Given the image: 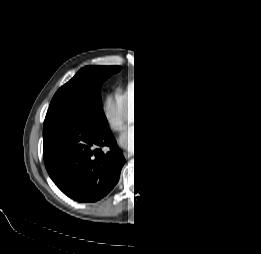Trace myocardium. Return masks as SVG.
Returning <instances> with one entry per match:
<instances>
[{"instance_id": "obj_1", "label": "myocardium", "mask_w": 261, "mask_h": 254, "mask_svg": "<svg viewBox=\"0 0 261 254\" xmlns=\"http://www.w3.org/2000/svg\"><path fill=\"white\" fill-rule=\"evenodd\" d=\"M151 110H152V105H150V103H148L146 111L148 112V111H151Z\"/></svg>"}]
</instances>
